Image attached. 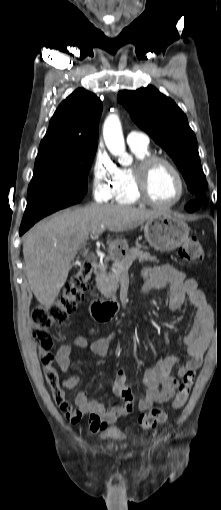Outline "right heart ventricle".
Returning a JSON list of instances; mask_svg holds the SVG:
<instances>
[{
  "label": "right heart ventricle",
  "mask_w": 221,
  "mask_h": 510,
  "mask_svg": "<svg viewBox=\"0 0 221 510\" xmlns=\"http://www.w3.org/2000/svg\"><path fill=\"white\" fill-rule=\"evenodd\" d=\"M130 148L132 153L135 155L137 162L140 159L151 155L148 145H133L130 146ZM134 167L135 165L116 168V186L113 194L115 202L120 204H135L140 201L136 195L134 187Z\"/></svg>",
  "instance_id": "obj_1"
}]
</instances>
